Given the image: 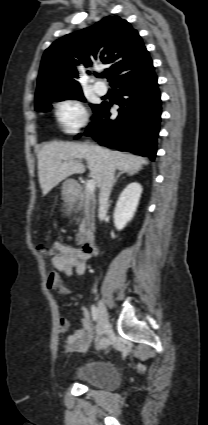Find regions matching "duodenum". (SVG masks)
<instances>
[{"label":"duodenum","instance_id":"410a0bca","mask_svg":"<svg viewBox=\"0 0 208 425\" xmlns=\"http://www.w3.org/2000/svg\"><path fill=\"white\" fill-rule=\"evenodd\" d=\"M75 190L80 192L81 189L79 186H76ZM82 251L88 256L96 253L97 247L93 236H86L84 238L82 242Z\"/></svg>","mask_w":208,"mask_h":425}]
</instances>
